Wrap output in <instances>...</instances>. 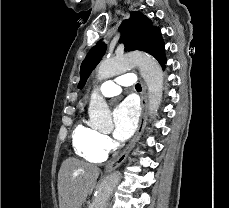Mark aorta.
Masks as SVG:
<instances>
[{"mask_svg":"<svg viewBox=\"0 0 229 208\" xmlns=\"http://www.w3.org/2000/svg\"><path fill=\"white\" fill-rule=\"evenodd\" d=\"M137 66L147 85L150 116H154L161 103L164 76L159 63L149 55L131 53L120 58L102 61L97 67L99 81L118 75ZM89 118L91 125L99 130H105L112 125L111 114L105 99L94 89L89 104ZM121 179L120 172L108 175L99 185L93 200V208H107L110 195Z\"/></svg>","mask_w":229,"mask_h":208,"instance_id":"obj_1","label":"aorta"}]
</instances>
